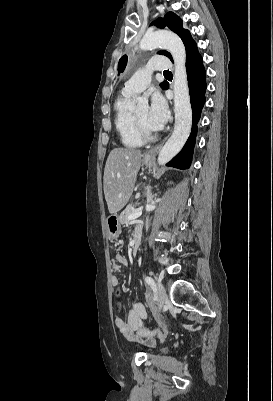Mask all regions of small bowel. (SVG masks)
<instances>
[{"label": "small bowel", "mask_w": 273, "mask_h": 401, "mask_svg": "<svg viewBox=\"0 0 273 401\" xmlns=\"http://www.w3.org/2000/svg\"><path fill=\"white\" fill-rule=\"evenodd\" d=\"M139 229H135L133 233L134 235L139 232ZM127 264V259L122 254H116L113 261L112 266L115 272H119L125 265ZM112 285L114 288L119 287V279L116 275L112 277ZM152 311V317H159V307L157 305H152L150 307ZM148 320V312L145 306L139 302L134 301L129 309L126 317L117 316L114 320V324L119 333L125 337L129 338L128 342L130 344L140 345L143 340L146 341L148 345H157L159 341H164L166 336H169L172 332L170 327H158L156 332H148L143 333L142 336L132 337L134 334L139 333L145 329L146 322ZM177 322V321H175ZM162 324L166 323L165 319L161 320Z\"/></svg>", "instance_id": "obj_1"}]
</instances>
